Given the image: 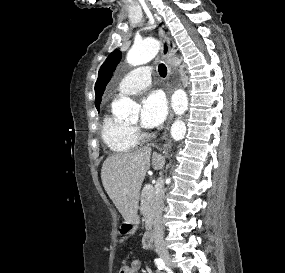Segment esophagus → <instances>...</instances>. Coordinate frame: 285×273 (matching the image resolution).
Here are the masks:
<instances>
[{"label": "esophagus", "mask_w": 285, "mask_h": 273, "mask_svg": "<svg viewBox=\"0 0 285 273\" xmlns=\"http://www.w3.org/2000/svg\"><path fill=\"white\" fill-rule=\"evenodd\" d=\"M159 37L161 42V56L163 59H166L171 54L170 39L162 28L159 29ZM172 116L173 114L171 112L169 120L172 119Z\"/></svg>", "instance_id": "obj_1"}]
</instances>
